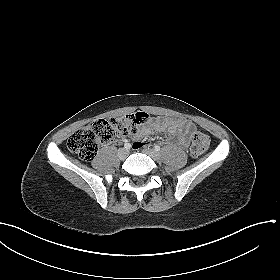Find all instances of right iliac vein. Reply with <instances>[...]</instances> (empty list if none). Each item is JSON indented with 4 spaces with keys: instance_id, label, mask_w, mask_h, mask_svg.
I'll return each mask as SVG.
<instances>
[{
    "instance_id": "obj_1",
    "label": "right iliac vein",
    "mask_w": 280,
    "mask_h": 280,
    "mask_svg": "<svg viewBox=\"0 0 280 280\" xmlns=\"http://www.w3.org/2000/svg\"><path fill=\"white\" fill-rule=\"evenodd\" d=\"M129 155V151L127 149H120L118 151V157L121 159V160H124L127 158V156Z\"/></svg>"
}]
</instances>
